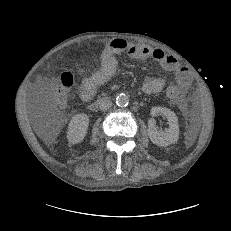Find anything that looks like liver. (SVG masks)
Returning a JSON list of instances; mask_svg holds the SVG:
<instances>
[{
    "label": "liver",
    "mask_w": 231,
    "mask_h": 231,
    "mask_svg": "<svg viewBox=\"0 0 231 231\" xmlns=\"http://www.w3.org/2000/svg\"><path fill=\"white\" fill-rule=\"evenodd\" d=\"M57 133H55L53 136L49 137V138H46V140H54L55 137H56Z\"/></svg>",
    "instance_id": "1"
}]
</instances>
